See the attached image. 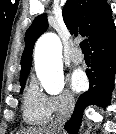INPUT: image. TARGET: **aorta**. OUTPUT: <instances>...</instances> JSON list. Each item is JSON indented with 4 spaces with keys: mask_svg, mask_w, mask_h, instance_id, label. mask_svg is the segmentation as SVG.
<instances>
[{
    "mask_svg": "<svg viewBox=\"0 0 116 134\" xmlns=\"http://www.w3.org/2000/svg\"><path fill=\"white\" fill-rule=\"evenodd\" d=\"M35 68L39 80L49 94H59L64 88L62 44L54 33L42 35L35 46Z\"/></svg>",
    "mask_w": 116,
    "mask_h": 134,
    "instance_id": "762f6f07",
    "label": "aorta"
}]
</instances>
